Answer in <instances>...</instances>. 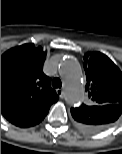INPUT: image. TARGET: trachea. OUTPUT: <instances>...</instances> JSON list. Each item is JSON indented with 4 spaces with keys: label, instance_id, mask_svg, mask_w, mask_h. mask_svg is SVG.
Returning a JSON list of instances; mask_svg holds the SVG:
<instances>
[{
    "label": "trachea",
    "instance_id": "3493384b",
    "mask_svg": "<svg viewBox=\"0 0 122 154\" xmlns=\"http://www.w3.org/2000/svg\"><path fill=\"white\" fill-rule=\"evenodd\" d=\"M52 85H53L54 88H61L62 82L59 78H54Z\"/></svg>",
    "mask_w": 122,
    "mask_h": 154
}]
</instances>
